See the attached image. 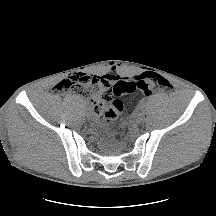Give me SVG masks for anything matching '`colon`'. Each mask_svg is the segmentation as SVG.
<instances>
[{
	"label": "colon",
	"mask_w": 216,
	"mask_h": 216,
	"mask_svg": "<svg viewBox=\"0 0 216 216\" xmlns=\"http://www.w3.org/2000/svg\"><path fill=\"white\" fill-rule=\"evenodd\" d=\"M56 88L91 99L94 109L99 113L103 112L104 121L113 123L124 108L121 95L139 90L149 96L155 90L169 92L172 86L168 80L157 74H144L132 80L121 79L114 83L105 76L75 74L59 82Z\"/></svg>",
	"instance_id": "1"
}]
</instances>
